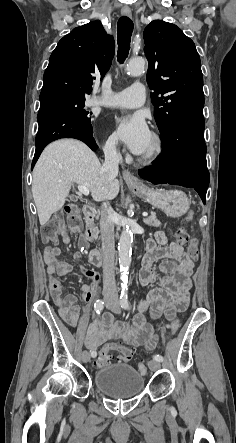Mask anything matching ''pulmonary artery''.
Here are the masks:
<instances>
[{"label": "pulmonary artery", "instance_id": "e3ab8cb5", "mask_svg": "<svg viewBox=\"0 0 236 443\" xmlns=\"http://www.w3.org/2000/svg\"><path fill=\"white\" fill-rule=\"evenodd\" d=\"M144 101L145 87L141 83H136L121 92L95 96L90 100V104L104 107L136 108L141 106Z\"/></svg>", "mask_w": 236, "mask_h": 443}]
</instances>
